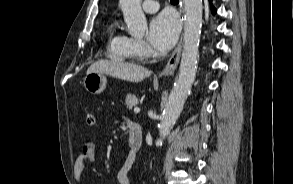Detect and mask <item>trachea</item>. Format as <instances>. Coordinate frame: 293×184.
<instances>
[{
    "instance_id": "1",
    "label": "trachea",
    "mask_w": 293,
    "mask_h": 184,
    "mask_svg": "<svg viewBox=\"0 0 293 184\" xmlns=\"http://www.w3.org/2000/svg\"><path fill=\"white\" fill-rule=\"evenodd\" d=\"M171 2H177V1H179V0H170Z\"/></svg>"
}]
</instances>
